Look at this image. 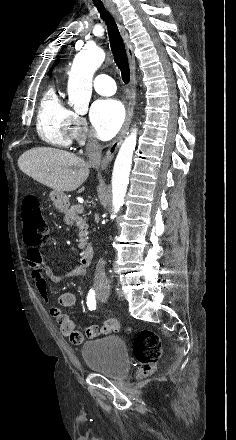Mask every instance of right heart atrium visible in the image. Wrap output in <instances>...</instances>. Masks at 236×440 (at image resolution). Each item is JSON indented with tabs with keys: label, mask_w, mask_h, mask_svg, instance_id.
I'll return each mask as SVG.
<instances>
[{
	"label": "right heart atrium",
	"mask_w": 236,
	"mask_h": 440,
	"mask_svg": "<svg viewBox=\"0 0 236 440\" xmlns=\"http://www.w3.org/2000/svg\"><path fill=\"white\" fill-rule=\"evenodd\" d=\"M71 127L72 138L75 139L79 144H88L91 134L86 119L78 114L73 113Z\"/></svg>",
	"instance_id": "right-heart-atrium-1"
}]
</instances>
